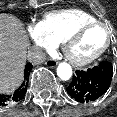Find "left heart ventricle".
<instances>
[{"label": "left heart ventricle", "mask_w": 117, "mask_h": 117, "mask_svg": "<svg viewBox=\"0 0 117 117\" xmlns=\"http://www.w3.org/2000/svg\"><path fill=\"white\" fill-rule=\"evenodd\" d=\"M107 40L105 28L95 26L86 30L72 45L75 56L86 57L101 49Z\"/></svg>", "instance_id": "obj_1"}]
</instances>
